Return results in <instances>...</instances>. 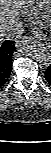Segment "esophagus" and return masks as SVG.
<instances>
[{"mask_svg": "<svg viewBox=\"0 0 51 153\" xmlns=\"http://www.w3.org/2000/svg\"><path fill=\"white\" fill-rule=\"evenodd\" d=\"M33 34H34V36L36 37V38H41L42 37V33H41V31H40V29L39 28H34L33 29Z\"/></svg>", "mask_w": 51, "mask_h": 153, "instance_id": "34e87169", "label": "esophagus"}]
</instances>
